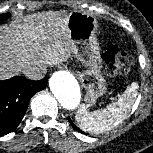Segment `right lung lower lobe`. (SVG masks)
I'll return each instance as SVG.
<instances>
[{
    "label": "right lung lower lobe",
    "instance_id": "98d812e1",
    "mask_svg": "<svg viewBox=\"0 0 153 153\" xmlns=\"http://www.w3.org/2000/svg\"><path fill=\"white\" fill-rule=\"evenodd\" d=\"M46 86L47 78L33 81L18 76L0 81V137L17 128L31 97Z\"/></svg>",
    "mask_w": 153,
    "mask_h": 153
}]
</instances>
